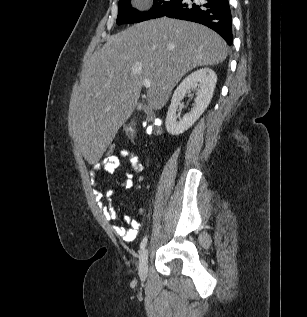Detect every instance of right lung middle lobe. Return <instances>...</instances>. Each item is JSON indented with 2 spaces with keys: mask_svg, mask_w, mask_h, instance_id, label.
Instances as JSON below:
<instances>
[{
  "mask_svg": "<svg viewBox=\"0 0 307 317\" xmlns=\"http://www.w3.org/2000/svg\"><path fill=\"white\" fill-rule=\"evenodd\" d=\"M176 0H153V6L149 11L140 12L132 8L130 0L119 1L117 24L138 23L160 17Z\"/></svg>",
  "mask_w": 307,
  "mask_h": 317,
  "instance_id": "obj_1",
  "label": "right lung middle lobe"
}]
</instances>
